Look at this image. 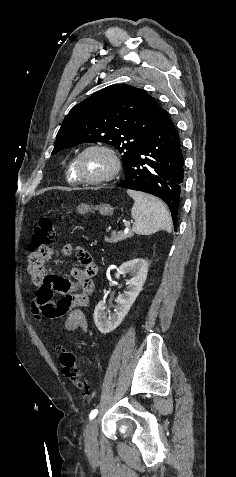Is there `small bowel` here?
<instances>
[{"label":"small bowel","mask_w":236,"mask_h":477,"mask_svg":"<svg viewBox=\"0 0 236 477\" xmlns=\"http://www.w3.org/2000/svg\"><path fill=\"white\" fill-rule=\"evenodd\" d=\"M74 251L77 266L70 271L73 281L59 275L46 274L44 260L42 277L35 282L38 285V291L31 308L38 318L54 320L66 316L63 324V330L66 332L77 330L85 332L88 329V323L80 308L89 305V295L94 290L92 278L95 275V265L86 251L80 248L74 249L71 244L63 246L60 253L67 256ZM55 294L59 297L55 298Z\"/></svg>","instance_id":"c3829d8e"}]
</instances>
